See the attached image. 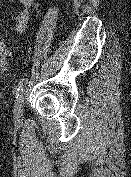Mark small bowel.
<instances>
[{
    "instance_id": "obj_1",
    "label": "small bowel",
    "mask_w": 131,
    "mask_h": 177,
    "mask_svg": "<svg viewBox=\"0 0 131 177\" xmlns=\"http://www.w3.org/2000/svg\"><path fill=\"white\" fill-rule=\"evenodd\" d=\"M21 6V10L16 16L14 32L16 34H22L27 28V24L30 18V8L33 5L34 0H18Z\"/></svg>"
}]
</instances>
